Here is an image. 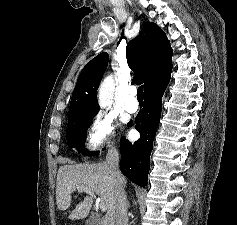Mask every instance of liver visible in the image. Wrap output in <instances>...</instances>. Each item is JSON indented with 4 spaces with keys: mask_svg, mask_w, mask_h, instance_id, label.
<instances>
[{
    "mask_svg": "<svg viewBox=\"0 0 237 225\" xmlns=\"http://www.w3.org/2000/svg\"><path fill=\"white\" fill-rule=\"evenodd\" d=\"M84 186L97 194L107 206V213L99 225H115L116 187L107 162L94 164H69L59 168L57 174L56 203L60 210L71 205L72 194L76 188ZM91 197H85L69 215L71 220L84 219L92 207Z\"/></svg>",
    "mask_w": 237,
    "mask_h": 225,
    "instance_id": "liver-1",
    "label": "liver"
}]
</instances>
